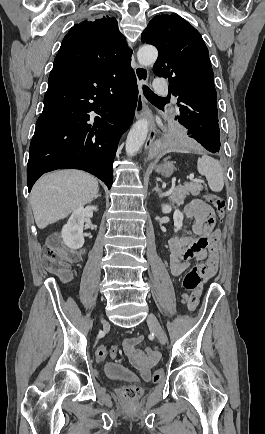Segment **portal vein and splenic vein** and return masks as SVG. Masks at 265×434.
Instances as JSON below:
<instances>
[{"instance_id":"1","label":"portal vein and splenic vein","mask_w":265,"mask_h":434,"mask_svg":"<svg viewBox=\"0 0 265 434\" xmlns=\"http://www.w3.org/2000/svg\"><path fill=\"white\" fill-rule=\"evenodd\" d=\"M189 180H192V182H201V184H203V182H204V180H198V178H196V180H194L193 174H190Z\"/></svg>"}]
</instances>
